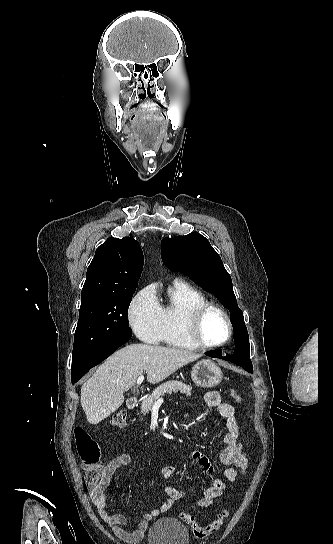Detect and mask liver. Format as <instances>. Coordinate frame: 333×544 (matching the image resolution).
<instances>
[{"mask_svg":"<svg viewBox=\"0 0 333 544\" xmlns=\"http://www.w3.org/2000/svg\"><path fill=\"white\" fill-rule=\"evenodd\" d=\"M201 356L182 349L147 344H131L116 351L81 388V406L87 421L95 425L115 412L124 402L123 393L143 372L149 383L156 384Z\"/></svg>","mask_w":333,"mask_h":544,"instance_id":"6515ba94","label":"liver"}]
</instances>
